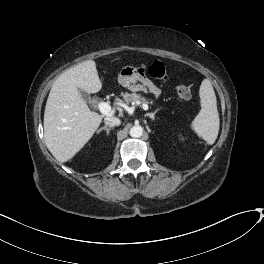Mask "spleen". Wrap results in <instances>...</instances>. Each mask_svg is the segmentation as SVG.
I'll use <instances>...</instances> for the list:
<instances>
[{
  "mask_svg": "<svg viewBox=\"0 0 264 264\" xmlns=\"http://www.w3.org/2000/svg\"><path fill=\"white\" fill-rule=\"evenodd\" d=\"M201 110L194 118L191 128L209 145H212L219 132V114L217 110V100L213 86L208 79H204L199 90Z\"/></svg>",
  "mask_w": 264,
  "mask_h": 264,
  "instance_id": "3e777b00",
  "label": "spleen"
}]
</instances>
